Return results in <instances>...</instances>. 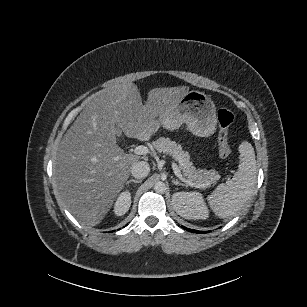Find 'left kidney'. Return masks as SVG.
<instances>
[{"mask_svg": "<svg viewBox=\"0 0 307 307\" xmlns=\"http://www.w3.org/2000/svg\"><path fill=\"white\" fill-rule=\"evenodd\" d=\"M171 201L176 213L186 219L206 220L210 216V210L202 192L176 191Z\"/></svg>", "mask_w": 307, "mask_h": 307, "instance_id": "obj_1", "label": "left kidney"}]
</instances>
